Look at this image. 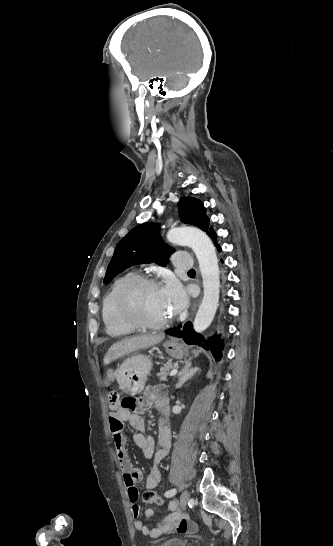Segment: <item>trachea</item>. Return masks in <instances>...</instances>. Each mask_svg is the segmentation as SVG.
<instances>
[{
    "label": "trachea",
    "mask_w": 333,
    "mask_h": 546,
    "mask_svg": "<svg viewBox=\"0 0 333 546\" xmlns=\"http://www.w3.org/2000/svg\"><path fill=\"white\" fill-rule=\"evenodd\" d=\"M188 273H195V270L191 269V270L188 271Z\"/></svg>",
    "instance_id": "1"
}]
</instances>
